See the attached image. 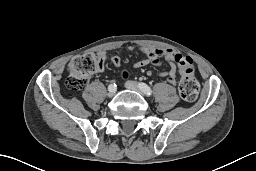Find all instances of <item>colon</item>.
<instances>
[{
    "label": "colon",
    "instance_id": "5ec220e1",
    "mask_svg": "<svg viewBox=\"0 0 256 171\" xmlns=\"http://www.w3.org/2000/svg\"><path fill=\"white\" fill-rule=\"evenodd\" d=\"M103 65L97 54L87 53L77 56L69 64V77L66 86L71 91L81 90L89 76L99 70ZM178 66L182 72V78L178 86L181 98L187 102H193L198 97L199 85L194 76L195 66L189 56L178 57Z\"/></svg>",
    "mask_w": 256,
    "mask_h": 171
}]
</instances>
